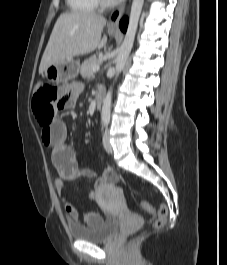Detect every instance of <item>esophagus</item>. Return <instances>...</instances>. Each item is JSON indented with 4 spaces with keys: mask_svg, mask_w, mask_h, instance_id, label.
I'll return each mask as SVG.
<instances>
[{
    "mask_svg": "<svg viewBox=\"0 0 227 265\" xmlns=\"http://www.w3.org/2000/svg\"><path fill=\"white\" fill-rule=\"evenodd\" d=\"M125 8H126V4L118 7L117 9H115L111 13V15L109 17L108 24H107V26H108L109 29H117L118 28L119 21H120V19L123 16V13L125 11Z\"/></svg>",
    "mask_w": 227,
    "mask_h": 265,
    "instance_id": "34e87169",
    "label": "esophagus"
}]
</instances>
